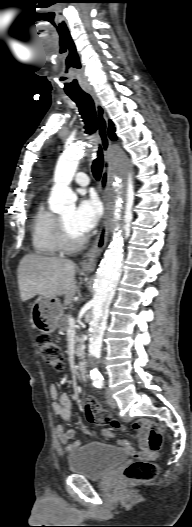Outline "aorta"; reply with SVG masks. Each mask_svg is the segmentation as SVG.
Here are the masks:
<instances>
[{
    "instance_id": "1",
    "label": "aorta",
    "mask_w": 192,
    "mask_h": 527,
    "mask_svg": "<svg viewBox=\"0 0 192 527\" xmlns=\"http://www.w3.org/2000/svg\"><path fill=\"white\" fill-rule=\"evenodd\" d=\"M83 146V144L77 143L67 147L57 161L54 172V186L49 200L50 208L54 212H62L66 208L75 206V195L69 185L82 157ZM130 174V165L127 162H123L119 173L114 178L113 187L116 193L115 218L117 220H121L123 206L130 196ZM122 260V228L118 225L115 228L113 240L100 263L95 280V295L92 300V318L88 342V355L91 360L97 359L101 353L108 307L114 297L116 283L120 278ZM90 377L94 384L100 383L102 380V376L96 368L90 371Z\"/></svg>"
}]
</instances>
